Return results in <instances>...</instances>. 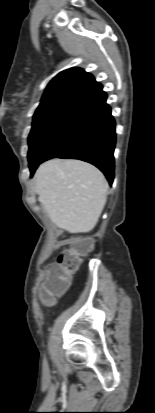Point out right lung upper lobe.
<instances>
[{
    "mask_svg": "<svg viewBox=\"0 0 155 413\" xmlns=\"http://www.w3.org/2000/svg\"><path fill=\"white\" fill-rule=\"evenodd\" d=\"M102 88V85L83 69L64 70L48 84L34 114V119L64 106H79L100 92Z\"/></svg>",
    "mask_w": 155,
    "mask_h": 413,
    "instance_id": "1",
    "label": "right lung upper lobe"
}]
</instances>
